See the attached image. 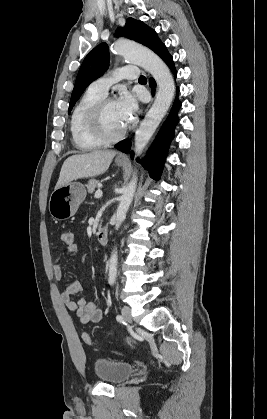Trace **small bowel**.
<instances>
[{"mask_svg": "<svg viewBox=\"0 0 267 419\" xmlns=\"http://www.w3.org/2000/svg\"><path fill=\"white\" fill-rule=\"evenodd\" d=\"M77 251L78 246L75 244L73 247H66L58 254L53 266L54 276L57 280H60L64 274V265L61 258L74 256ZM81 291L82 285L79 281L74 280L69 283L66 290L61 295L63 304L68 310L74 312L83 324L100 322L103 313L94 302L86 301L83 297H79L77 300L73 299V296L79 294Z\"/></svg>", "mask_w": 267, "mask_h": 419, "instance_id": "obj_1", "label": "small bowel"}]
</instances>
